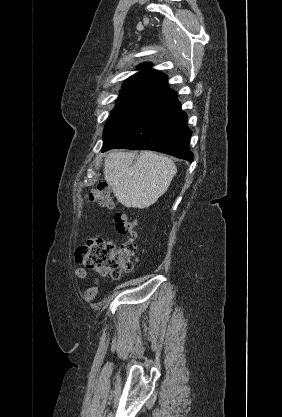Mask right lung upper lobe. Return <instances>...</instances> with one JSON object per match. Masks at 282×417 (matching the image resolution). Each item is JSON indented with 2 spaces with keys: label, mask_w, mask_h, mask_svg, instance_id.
<instances>
[{
  "label": "right lung upper lobe",
  "mask_w": 282,
  "mask_h": 417,
  "mask_svg": "<svg viewBox=\"0 0 282 417\" xmlns=\"http://www.w3.org/2000/svg\"><path fill=\"white\" fill-rule=\"evenodd\" d=\"M150 64L145 63L139 66L140 72L129 77L122 86L123 92H142L161 95L169 89L168 77L156 70L150 69Z\"/></svg>",
  "instance_id": "right-lung-upper-lobe-1"
}]
</instances>
